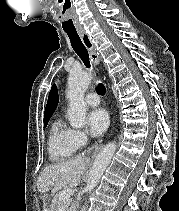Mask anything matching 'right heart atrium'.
<instances>
[{"label":"right heart atrium","instance_id":"right-heart-atrium-1","mask_svg":"<svg viewBox=\"0 0 179 211\" xmlns=\"http://www.w3.org/2000/svg\"><path fill=\"white\" fill-rule=\"evenodd\" d=\"M72 140L78 148L84 146L88 142V136L84 131L72 129Z\"/></svg>","mask_w":179,"mask_h":211}]
</instances>
